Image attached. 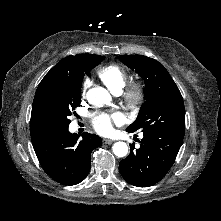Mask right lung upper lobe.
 Listing matches in <instances>:
<instances>
[{"label": "right lung upper lobe", "mask_w": 221, "mask_h": 221, "mask_svg": "<svg viewBox=\"0 0 221 221\" xmlns=\"http://www.w3.org/2000/svg\"><path fill=\"white\" fill-rule=\"evenodd\" d=\"M91 54H77L68 56L60 60L40 82L34 101L32 104V113L30 121V133L32 141L38 140L51 133V130L44 124L40 116V101L43 93L48 88H62L69 85L81 84L83 77L77 72L78 65L84 58Z\"/></svg>", "instance_id": "right-lung-upper-lobe-1"}]
</instances>
